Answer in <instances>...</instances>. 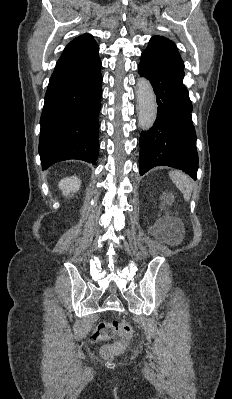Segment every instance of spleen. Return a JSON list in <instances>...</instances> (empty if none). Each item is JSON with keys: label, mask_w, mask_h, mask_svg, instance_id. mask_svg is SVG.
<instances>
[{"label": "spleen", "mask_w": 232, "mask_h": 399, "mask_svg": "<svg viewBox=\"0 0 232 399\" xmlns=\"http://www.w3.org/2000/svg\"><path fill=\"white\" fill-rule=\"evenodd\" d=\"M169 176L175 186H177L178 190L182 192L184 200L189 201L193 192L191 178H189L187 174H183V172H178V170H175V172H169Z\"/></svg>", "instance_id": "obj_1"}]
</instances>
